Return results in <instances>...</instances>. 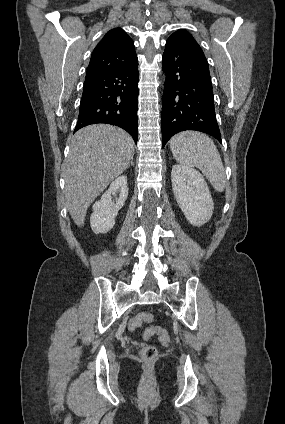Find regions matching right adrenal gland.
<instances>
[{
  "instance_id": "2a0ac1e0",
  "label": "right adrenal gland",
  "mask_w": 285,
  "mask_h": 424,
  "mask_svg": "<svg viewBox=\"0 0 285 424\" xmlns=\"http://www.w3.org/2000/svg\"><path fill=\"white\" fill-rule=\"evenodd\" d=\"M130 164H131L132 166H134L133 159L131 160Z\"/></svg>"
}]
</instances>
